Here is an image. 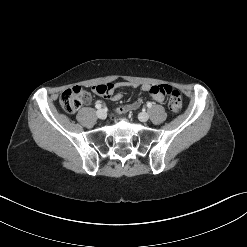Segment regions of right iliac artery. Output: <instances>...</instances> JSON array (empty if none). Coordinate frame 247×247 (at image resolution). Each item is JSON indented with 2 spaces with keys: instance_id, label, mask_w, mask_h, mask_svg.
Wrapping results in <instances>:
<instances>
[{
  "instance_id": "obj_1",
  "label": "right iliac artery",
  "mask_w": 247,
  "mask_h": 247,
  "mask_svg": "<svg viewBox=\"0 0 247 247\" xmlns=\"http://www.w3.org/2000/svg\"><path fill=\"white\" fill-rule=\"evenodd\" d=\"M95 107H96L97 109H100V108L102 107V105H101V104H96Z\"/></svg>"
}]
</instances>
